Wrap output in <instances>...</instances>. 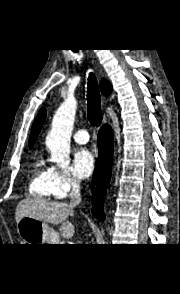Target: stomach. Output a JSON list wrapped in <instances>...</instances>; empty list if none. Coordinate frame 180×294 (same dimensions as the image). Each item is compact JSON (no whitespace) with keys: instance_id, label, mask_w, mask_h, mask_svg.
<instances>
[{"instance_id":"0dacf381","label":"stomach","mask_w":180,"mask_h":294,"mask_svg":"<svg viewBox=\"0 0 180 294\" xmlns=\"http://www.w3.org/2000/svg\"><path fill=\"white\" fill-rule=\"evenodd\" d=\"M17 232L24 244H46L56 237V232L46 223L27 216L17 223Z\"/></svg>"}]
</instances>
